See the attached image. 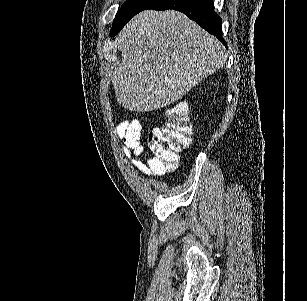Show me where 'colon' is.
<instances>
[{"instance_id": "obj_1", "label": "colon", "mask_w": 307, "mask_h": 301, "mask_svg": "<svg viewBox=\"0 0 307 301\" xmlns=\"http://www.w3.org/2000/svg\"><path fill=\"white\" fill-rule=\"evenodd\" d=\"M164 115L166 124L149 132L147 144L167 170H174L179 162V152L188 148L193 141L194 128L184 101L170 105Z\"/></svg>"}]
</instances>
